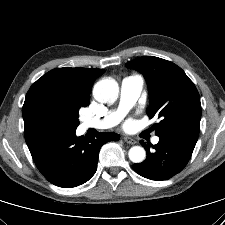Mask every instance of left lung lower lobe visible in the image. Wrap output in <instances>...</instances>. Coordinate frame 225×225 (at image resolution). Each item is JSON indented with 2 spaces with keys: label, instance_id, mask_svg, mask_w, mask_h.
<instances>
[{
  "label": "left lung lower lobe",
  "instance_id": "left-lung-lower-lobe-1",
  "mask_svg": "<svg viewBox=\"0 0 225 225\" xmlns=\"http://www.w3.org/2000/svg\"><path fill=\"white\" fill-rule=\"evenodd\" d=\"M140 143L146 149L147 157L140 164H134L133 169L141 176L152 180H168L184 169L188 163L195 145L171 137L161 136L154 152H150V144Z\"/></svg>",
  "mask_w": 225,
  "mask_h": 225
}]
</instances>
